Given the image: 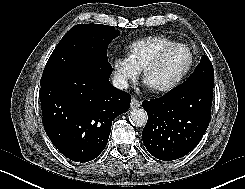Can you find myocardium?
Instances as JSON below:
<instances>
[{
	"label": "myocardium",
	"instance_id": "myocardium-1",
	"mask_svg": "<svg viewBox=\"0 0 245 189\" xmlns=\"http://www.w3.org/2000/svg\"><path fill=\"white\" fill-rule=\"evenodd\" d=\"M176 48H185L188 50V52H189V63L187 65V67L185 68V70L180 74V76H178L170 84L159 87V88H153V89L151 88V90L154 93L165 94V93H168V92L175 90L186 80V78L190 74L191 70L193 69L194 62H195V56H194L192 49L184 43H173V44H169L167 46H164L162 49H160L155 54V56L144 66V68L142 69V79L145 81L147 74L152 69H154L163 60V58L166 56V54L168 52H170L171 50L176 49Z\"/></svg>",
	"mask_w": 245,
	"mask_h": 189
}]
</instances>
